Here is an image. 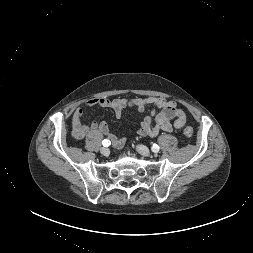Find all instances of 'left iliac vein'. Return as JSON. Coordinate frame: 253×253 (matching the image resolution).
<instances>
[{"mask_svg":"<svg viewBox=\"0 0 253 253\" xmlns=\"http://www.w3.org/2000/svg\"><path fill=\"white\" fill-rule=\"evenodd\" d=\"M136 149L143 156H146V157L151 156L150 150L144 145L139 144L137 145Z\"/></svg>","mask_w":253,"mask_h":253,"instance_id":"1","label":"left iliac vein"}]
</instances>
